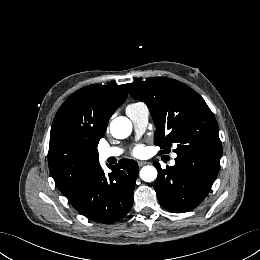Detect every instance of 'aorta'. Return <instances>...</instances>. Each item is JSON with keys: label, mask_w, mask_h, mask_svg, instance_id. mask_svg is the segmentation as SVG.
Wrapping results in <instances>:
<instances>
[{"label": "aorta", "mask_w": 260, "mask_h": 260, "mask_svg": "<svg viewBox=\"0 0 260 260\" xmlns=\"http://www.w3.org/2000/svg\"><path fill=\"white\" fill-rule=\"evenodd\" d=\"M132 132V123L127 117H116L110 123V133L117 139H125ZM140 177L145 182L154 181L157 178V170L154 166H144L140 170Z\"/></svg>", "instance_id": "762f6f07"}]
</instances>
